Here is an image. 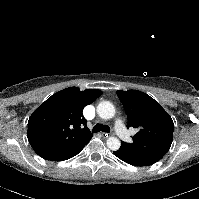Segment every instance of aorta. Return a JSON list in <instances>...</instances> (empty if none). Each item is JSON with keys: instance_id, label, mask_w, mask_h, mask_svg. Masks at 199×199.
Listing matches in <instances>:
<instances>
[{"instance_id": "aorta-1", "label": "aorta", "mask_w": 199, "mask_h": 199, "mask_svg": "<svg viewBox=\"0 0 199 199\" xmlns=\"http://www.w3.org/2000/svg\"><path fill=\"white\" fill-rule=\"evenodd\" d=\"M97 114L102 119H111L115 115V107L109 101H102L97 106ZM120 140L116 137H109L107 139V147L110 150L116 151L120 148Z\"/></svg>"}]
</instances>
